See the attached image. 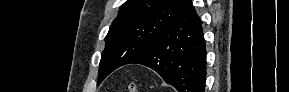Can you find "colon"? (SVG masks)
Wrapping results in <instances>:
<instances>
[{"label": "colon", "instance_id": "5ec220e1", "mask_svg": "<svg viewBox=\"0 0 289 92\" xmlns=\"http://www.w3.org/2000/svg\"><path fill=\"white\" fill-rule=\"evenodd\" d=\"M127 89L129 92H137V86L134 82H129L127 85Z\"/></svg>", "mask_w": 289, "mask_h": 92}]
</instances>
